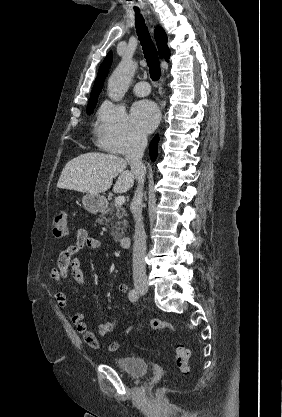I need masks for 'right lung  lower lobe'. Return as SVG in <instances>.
Returning a JSON list of instances; mask_svg holds the SVG:
<instances>
[{
  "label": "right lung lower lobe",
  "mask_w": 282,
  "mask_h": 417,
  "mask_svg": "<svg viewBox=\"0 0 282 417\" xmlns=\"http://www.w3.org/2000/svg\"><path fill=\"white\" fill-rule=\"evenodd\" d=\"M158 141H159V137L158 135H156L153 140L151 141L149 148H150V158L152 161H155V159L157 158V153H158Z\"/></svg>",
  "instance_id": "98d812e1"
}]
</instances>
